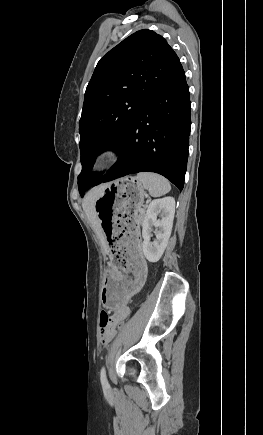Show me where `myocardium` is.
Segmentation results:
<instances>
[{"label":"myocardium","mask_w":263,"mask_h":435,"mask_svg":"<svg viewBox=\"0 0 263 435\" xmlns=\"http://www.w3.org/2000/svg\"><path fill=\"white\" fill-rule=\"evenodd\" d=\"M122 153L118 146L107 144L99 148L92 159V169L95 172L106 171L115 166L121 159Z\"/></svg>","instance_id":"f54148a6"}]
</instances>
